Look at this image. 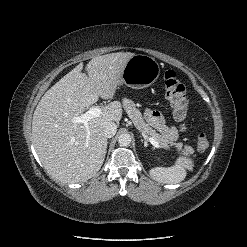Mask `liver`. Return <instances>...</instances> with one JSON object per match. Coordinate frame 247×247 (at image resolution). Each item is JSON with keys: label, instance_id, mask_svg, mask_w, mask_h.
Segmentation results:
<instances>
[{"label": "liver", "instance_id": "liver-1", "mask_svg": "<svg viewBox=\"0 0 247 247\" xmlns=\"http://www.w3.org/2000/svg\"><path fill=\"white\" fill-rule=\"evenodd\" d=\"M135 54L117 52L94 57L61 78L41 98L32 120V142L47 172L64 183H79L93 177L101 168L107 149L103 134L106 123L116 126L122 117L118 101L103 107L88 122L74 123L87 107L100 98L112 99L127 61Z\"/></svg>", "mask_w": 247, "mask_h": 247}]
</instances>
